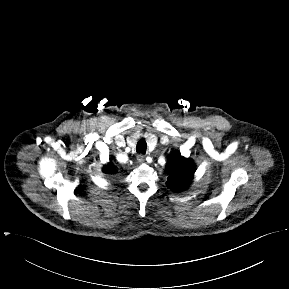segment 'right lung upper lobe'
I'll return each mask as SVG.
<instances>
[{
	"instance_id": "obj_1",
	"label": "right lung upper lobe",
	"mask_w": 289,
	"mask_h": 289,
	"mask_svg": "<svg viewBox=\"0 0 289 289\" xmlns=\"http://www.w3.org/2000/svg\"><path fill=\"white\" fill-rule=\"evenodd\" d=\"M103 172L108 174H114L116 173V169L114 168V165L109 162L108 165L103 169Z\"/></svg>"
}]
</instances>
